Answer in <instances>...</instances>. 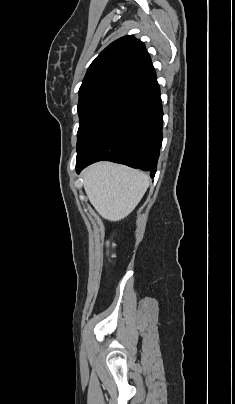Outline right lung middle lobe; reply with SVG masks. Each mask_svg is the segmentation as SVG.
<instances>
[{
    "instance_id": "right-lung-middle-lobe-1",
    "label": "right lung middle lobe",
    "mask_w": 235,
    "mask_h": 404,
    "mask_svg": "<svg viewBox=\"0 0 235 404\" xmlns=\"http://www.w3.org/2000/svg\"><path fill=\"white\" fill-rule=\"evenodd\" d=\"M129 84L101 83L79 91L78 113L80 125L77 149L105 113L119 100Z\"/></svg>"
}]
</instances>
